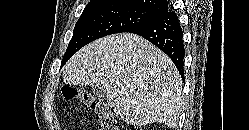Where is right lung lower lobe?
<instances>
[{
	"label": "right lung lower lobe",
	"instance_id": "right-lung-lower-lobe-1",
	"mask_svg": "<svg viewBox=\"0 0 249 130\" xmlns=\"http://www.w3.org/2000/svg\"><path fill=\"white\" fill-rule=\"evenodd\" d=\"M126 32L140 35L160 48L174 62L181 77H184V44L183 33L174 11L135 26Z\"/></svg>",
	"mask_w": 249,
	"mask_h": 130
}]
</instances>
